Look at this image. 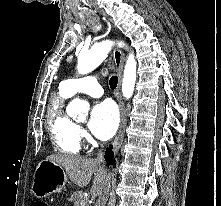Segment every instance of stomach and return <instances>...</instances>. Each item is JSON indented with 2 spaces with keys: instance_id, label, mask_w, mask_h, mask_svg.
Returning a JSON list of instances; mask_svg holds the SVG:
<instances>
[{
  "instance_id": "obj_1",
  "label": "stomach",
  "mask_w": 221,
  "mask_h": 206,
  "mask_svg": "<svg viewBox=\"0 0 221 206\" xmlns=\"http://www.w3.org/2000/svg\"><path fill=\"white\" fill-rule=\"evenodd\" d=\"M68 181L63 167L49 160H43L37 166L33 182L32 193L37 198L46 197L52 193L60 192Z\"/></svg>"
}]
</instances>
